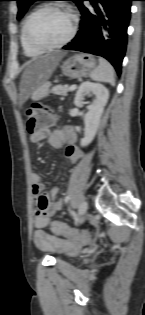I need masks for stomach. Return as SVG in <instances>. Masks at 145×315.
<instances>
[{
  "label": "stomach",
  "instance_id": "0dacf381",
  "mask_svg": "<svg viewBox=\"0 0 145 315\" xmlns=\"http://www.w3.org/2000/svg\"><path fill=\"white\" fill-rule=\"evenodd\" d=\"M96 59L88 54H76L61 65L62 73L70 78H81L90 75L96 69Z\"/></svg>",
  "mask_w": 145,
  "mask_h": 315
}]
</instances>
